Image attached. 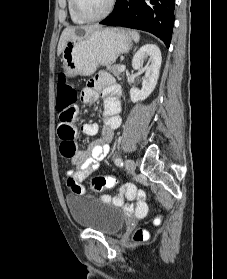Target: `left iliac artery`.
Here are the masks:
<instances>
[{"instance_id": "1", "label": "left iliac artery", "mask_w": 227, "mask_h": 279, "mask_svg": "<svg viewBox=\"0 0 227 279\" xmlns=\"http://www.w3.org/2000/svg\"><path fill=\"white\" fill-rule=\"evenodd\" d=\"M115 164H116L117 166H119V167L123 166L122 159L119 158V157H117V158L115 159Z\"/></svg>"}]
</instances>
